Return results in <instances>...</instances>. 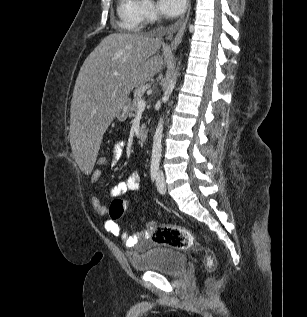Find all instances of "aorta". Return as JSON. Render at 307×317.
<instances>
[{
	"label": "aorta",
	"instance_id": "obj_1",
	"mask_svg": "<svg viewBox=\"0 0 307 317\" xmlns=\"http://www.w3.org/2000/svg\"><path fill=\"white\" fill-rule=\"evenodd\" d=\"M180 65V61H178V66ZM179 67H177L172 79L169 81V85L163 96V101L168 102L169 98L175 88V84L177 81V76ZM163 128H164V116L160 117L159 123L156 127L154 136H153V145H152V154H151V166L158 167L161 160V152H162V137H163Z\"/></svg>",
	"mask_w": 307,
	"mask_h": 317
}]
</instances>
